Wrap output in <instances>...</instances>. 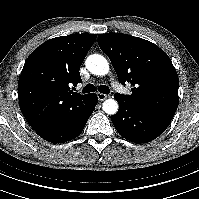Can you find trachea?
<instances>
[{"label":"trachea","mask_w":199,"mask_h":199,"mask_svg":"<svg viewBox=\"0 0 199 199\" xmlns=\"http://www.w3.org/2000/svg\"><path fill=\"white\" fill-rule=\"evenodd\" d=\"M83 93H90V92H95L96 91V87L93 85V84H88L86 85L84 88H83ZM98 91L100 93H103V94H109L110 93V89L108 86L106 85H100L98 87Z\"/></svg>","instance_id":"1"}]
</instances>
